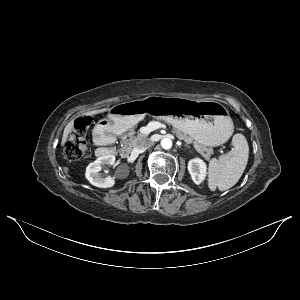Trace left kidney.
Returning <instances> with one entry per match:
<instances>
[{
	"label": "left kidney",
	"instance_id": "obj_1",
	"mask_svg": "<svg viewBox=\"0 0 300 300\" xmlns=\"http://www.w3.org/2000/svg\"><path fill=\"white\" fill-rule=\"evenodd\" d=\"M188 171L194 183L198 185L206 176V163L200 158L192 159L188 162Z\"/></svg>",
	"mask_w": 300,
	"mask_h": 300
}]
</instances>
